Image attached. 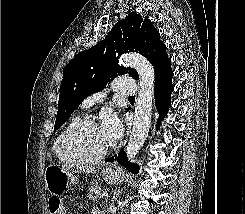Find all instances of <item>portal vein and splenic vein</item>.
Wrapping results in <instances>:
<instances>
[{"label":"portal vein and splenic vein","mask_w":245,"mask_h":214,"mask_svg":"<svg viewBox=\"0 0 245 214\" xmlns=\"http://www.w3.org/2000/svg\"><path fill=\"white\" fill-rule=\"evenodd\" d=\"M104 197H108V193H106V192H103V194H102Z\"/></svg>","instance_id":"1"}]
</instances>
